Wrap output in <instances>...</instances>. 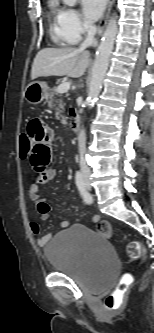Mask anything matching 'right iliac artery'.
Instances as JSON below:
<instances>
[{
  "instance_id": "82829eb1",
  "label": "right iliac artery",
  "mask_w": 154,
  "mask_h": 333,
  "mask_svg": "<svg viewBox=\"0 0 154 333\" xmlns=\"http://www.w3.org/2000/svg\"><path fill=\"white\" fill-rule=\"evenodd\" d=\"M75 180H76L77 188H78L81 196L83 197L84 201L87 204H91L93 202V198H92V195L86 190V188L84 186V181H83L81 172H79V171L76 172Z\"/></svg>"
}]
</instances>
